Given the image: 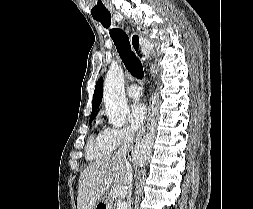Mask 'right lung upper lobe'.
Segmentation results:
<instances>
[{"mask_svg": "<svg viewBox=\"0 0 253 209\" xmlns=\"http://www.w3.org/2000/svg\"><path fill=\"white\" fill-rule=\"evenodd\" d=\"M102 94H103V78L101 77L97 81L96 86H95V91H94L93 101H92V112L90 115V119L95 118V116L98 113L97 109L102 101Z\"/></svg>", "mask_w": 253, "mask_h": 209, "instance_id": "1", "label": "right lung upper lobe"}]
</instances>
